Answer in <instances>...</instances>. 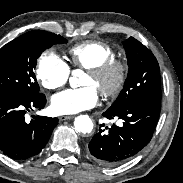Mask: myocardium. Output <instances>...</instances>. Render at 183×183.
I'll return each instance as SVG.
<instances>
[{
  "label": "myocardium",
  "instance_id": "1",
  "mask_svg": "<svg viewBox=\"0 0 183 183\" xmlns=\"http://www.w3.org/2000/svg\"><path fill=\"white\" fill-rule=\"evenodd\" d=\"M128 72V64L125 61L116 58L87 69V73L98 80L113 76V82L107 87H103L99 90V93L103 98H111L120 93L127 81Z\"/></svg>",
  "mask_w": 183,
  "mask_h": 183
}]
</instances>
